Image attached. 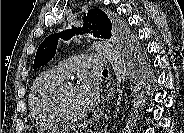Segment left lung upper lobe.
I'll use <instances>...</instances> for the list:
<instances>
[{
  "mask_svg": "<svg viewBox=\"0 0 184 133\" xmlns=\"http://www.w3.org/2000/svg\"><path fill=\"white\" fill-rule=\"evenodd\" d=\"M83 22L82 28L73 27L45 38L37 49L33 68L37 69L47 64L55 56L58 38L69 40L73 35L83 33H91L95 37L104 39H110L114 36L121 43L126 55L129 71V86L127 87H129L131 100L134 99L148 71V62L144 58L141 48L122 22L110 19L100 9L89 10L87 15L83 16Z\"/></svg>",
  "mask_w": 184,
  "mask_h": 133,
  "instance_id": "left-lung-upper-lobe-1",
  "label": "left lung upper lobe"
}]
</instances>
